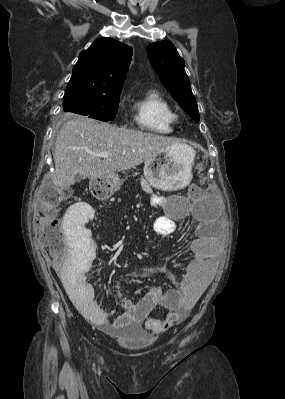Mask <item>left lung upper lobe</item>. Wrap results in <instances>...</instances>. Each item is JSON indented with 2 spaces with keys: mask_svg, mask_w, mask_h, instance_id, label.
<instances>
[{
  "mask_svg": "<svg viewBox=\"0 0 285 399\" xmlns=\"http://www.w3.org/2000/svg\"><path fill=\"white\" fill-rule=\"evenodd\" d=\"M147 56L161 83L189 116L199 121L196 99L184 70L185 62L170 41H159L147 47Z\"/></svg>",
  "mask_w": 285,
  "mask_h": 399,
  "instance_id": "left-lung-upper-lobe-1",
  "label": "left lung upper lobe"
}]
</instances>
